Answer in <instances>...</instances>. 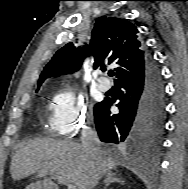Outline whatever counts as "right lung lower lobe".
<instances>
[{"mask_svg":"<svg viewBox=\"0 0 188 189\" xmlns=\"http://www.w3.org/2000/svg\"><path fill=\"white\" fill-rule=\"evenodd\" d=\"M120 112L110 115L114 100L104 99L94 111L102 142L131 148L138 154L154 149L165 121L164 84L160 71L148 55L142 72L116 84Z\"/></svg>","mask_w":188,"mask_h":189,"instance_id":"obj_1","label":"right lung lower lobe"}]
</instances>
